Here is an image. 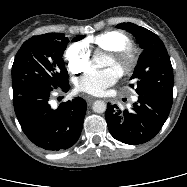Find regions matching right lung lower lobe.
I'll use <instances>...</instances> for the list:
<instances>
[{"label":"right lung lower lobe","instance_id":"obj_1","mask_svg":"<svg viewBox=\"0 0 187 187\" xmlns=\"http://www.w3.org/2000/svg\"><path fill=\"white\" fill-rule=\"evenodd\" d=\"M68 81L60 87L24 90L14 96V110L26 136L37 146L59 151L73 146L80 137L87 109L84 99L76 97L51 109L48 100L53 89L69 90Z\"/></svg>","mask_w":187,"mask_h":187}]
</instances>
